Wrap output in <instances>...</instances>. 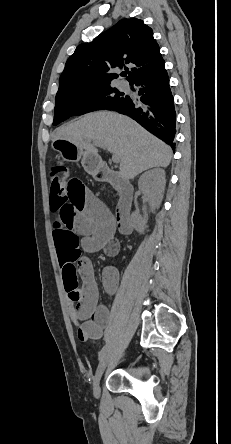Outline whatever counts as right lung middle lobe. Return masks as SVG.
I'll list each match as a JSON object with an SVG mask.
<instances>
[{"label": "right lung middle lobe", "instance_id": "right-lung-middle-lobe-1", "mask_svg": "<svg viewBox=\"0 0 231 444\" xmlns=\"http://www.w3.org/2000/svg\"><path fill=\"white\" fill-rule=\"evenodd\" d=\"M124 97V93L118 92L110 84L58 94L55 98L53 125L73 115H81L98 109H110Z\"/></svg>", "mask_w": 231, "mask_h": 444}]
</instances>
